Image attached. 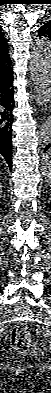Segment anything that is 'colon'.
<instances>
[{"label": "colon", "mask_w": 51, "mask_h": 393, "mask_svg": "<svg viewBox=\"0 0 51 393\" xmlns=\"http://www.w3.org/2000/svg\"><path fill=\"white\" fill-rule=\"evenodd\" d=\"M12 348L19 354H30L35 357L42 356L45 346L41 342H32L30 330L26 324L20 323L11 330Z\"/></svg>", "instance_id": "obj_1"}]
</instances>
